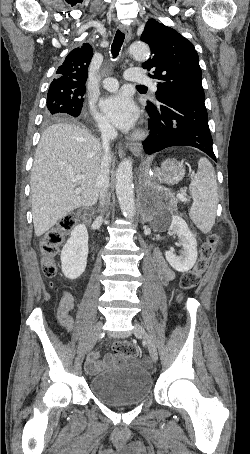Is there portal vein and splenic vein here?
<instances>
[{"label":"portal vein and splenic vein","mask_w":250,"mask_h":454,"mask_svg":"<svg viewBox=\"0 0 250 454\" xmlns=\"http://www.w3.org/2000/svg\"><path fill=\"white\" fill-rule=\"evenodd\" d=\"M77 179H74L73 178V181L75 182ZM81 189L80 188H77L76 189V192H80ZM177 199L181 200L182 202H188L189 200L182 194H177Z\"/></svg>","instance_id":"portal-vein-and-splenic-vein-1"}]
</instances>
